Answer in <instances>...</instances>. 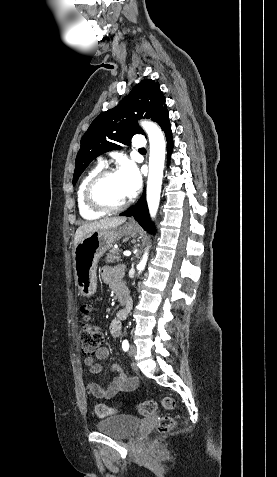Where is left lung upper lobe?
<instances>
[{"mask_svg": "<svg viewBox=\"0 0 277 477\" xmlns=\"http://www.w3.org/2000/svg\"><path fill=\"white\" fill-rule=\"evenodd\" d=\"M151 118L162 128L168 121V110L160 85L153 80L137 84L116 107L98 115L81 139L76 157L73 185L97 156L120 149L118 143L130 144L134 134H143L140 118Z\"/></svg>", "mask_w": 277, "mask_h": 477, "instance_id": "left-lung-upper-lobe-1", "label": "left lung upper lobe"}]
</instances>
